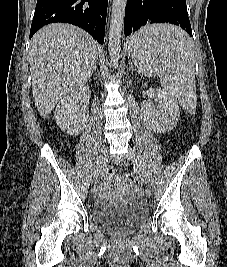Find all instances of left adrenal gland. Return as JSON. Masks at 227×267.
I'll return each instance as SVG.
<instances>
[{"mask_svg": "<svg viewBox=\"0 0 227 267\" xmlns=\"http://www.w3.org/2000/svg\"><path fill=\"white\" fill-rule=\"evenodd\" d=\"M129 64H130V70H132V71L136 70V69L133 67V65H132L131 62H129Z\"/></svg>", "mask_w": 227, "mask_h": 267, "instance_id": "a2214340", "label": "left adrenal gland"}]
</instances>
